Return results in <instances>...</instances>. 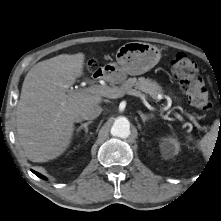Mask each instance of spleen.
<instances>
[{
  "instance_id": "spleen-1",
  "label": "spleen",
  "mask_w": 221,
  "mask_h": 221,
  "mask_svg": "<svg viewBox=\"0 0 221 221\" xmlns=\"http://www.w3.org/2000/svg\"><path fill=\"white\" fill-rule=\"evenodd\" d=\"M218 129V123L216 121L211 131L207 133L198 143L205 157H208L212 152V149L215 145Z\"/></svg>"
}]
</instances>
